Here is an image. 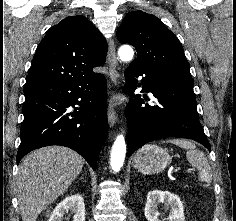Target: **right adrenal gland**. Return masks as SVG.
Returning <instances> with one entry per match:
<instances>
[{
  "instance_id": "right-adrenal-gland-1",
  "label": "right adrenal gland",
  "mask_w": 236,
  "mask_h": 221,
  "mask_svg": "<svg viewBox=\"0 0 236 221\" xmlns=\"http://www.w3.org/2000/svg\"><path fill=\"white\" fill-rule=\"evenodd\" d=\"M80 179H81V180H82V179H84V174L81 176V178H80Z\"/></svg>"
}]
</instances>
